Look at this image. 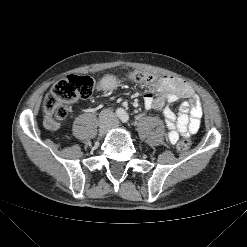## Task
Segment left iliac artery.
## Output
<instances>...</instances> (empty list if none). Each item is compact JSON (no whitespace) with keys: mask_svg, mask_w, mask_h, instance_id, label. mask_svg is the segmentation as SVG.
Masks as SVG:
<instances>
[{"mask_svg":"<svg viewBox=\"0 0 247 247\" xmlns=\"http://www.w3.org/2000/svg\"><path fill=\"white\" fill-rule=\"evenodd\" d=\"M128 120H129L128 114H127V113H123V115L121 116V121H122L123 123H127Z\"/></svg>","mask_w":247,"mask_h":247,"instance_id":"1","label":"left iliac artery"}]
</instances>
